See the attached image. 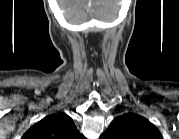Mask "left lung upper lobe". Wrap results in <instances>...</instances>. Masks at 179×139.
Wrapping results in <instances>:
<instances>
[{"label":"left lung upper lobe","instance_id":"obj_1","mask_svg":"<svg viewBox=\"0 0 179 139\" xmlns=\"http://www.w3.org/2000/svg\"><path fill=\"white\" fill-rule=\"evenodd\" d=\"M102 139H162L158 129L144 117L126 113L114 119Z\"/></svg>","mask_w":179,"mask_h":139}]
</instances>
